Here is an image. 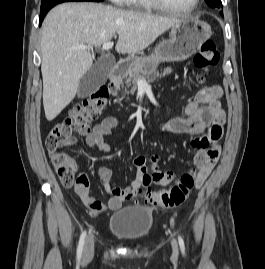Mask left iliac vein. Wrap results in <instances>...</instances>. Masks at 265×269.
I'll list each match as a JSON object with an SVG mask.
<instances>
[{"label":"left iliac vein","mask_w":265,"mask_h":269,"mask_svg":"<svg viewBox=\"0 0 265 269\" xmlns=\"http://www.w3.org/2000/svg\"><path fill=\"white\" fill-rule=\"evenodd\" d=\"M172 249H173V256L176 257L178 255V248L175 240H172Z\"/></svg>","instance_id":"4c4485c4"}]
</instances>
